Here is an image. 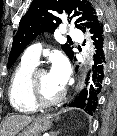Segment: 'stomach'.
Wrapping results in <instances>:
<instances>
[{"label": "stomach", "instance_id": "0dacf381", "mask_svg": "<svg viewBox=\"0 0 117 136\" xmlns=\"http://www.w3.org/2000/svg\"><path fill=\"white\" fill-rule=\"evenodd\" d=\"M50 115H42L35 118L30 125L24 128L18 136H38L41 133L49 130L52 125Z\"/></svg>", "mask_w": 117, "mask_h": 136}]
</instances>
